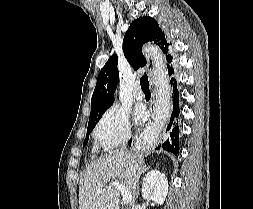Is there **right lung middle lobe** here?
<instances>
[{"label":"right lung middle lobe","mask_w":253,"mask_h":209,"mask_svg":"<svg viewBox=\"0 0 253 209\" xmlns=\"http://www.w3.org/2000/svg\"><path fill=\"white\" fill-rule=\"evenodd\" d=\"M100 118H101V116L89 119L88 128H87V137H86V139H85V141L83 143V147L87 144V141H88V138H89V134L92 131V129L95 127V125L97 124V122L100 120Z\"/></svg>","instance_id":"obj_1"}]
</instances>
